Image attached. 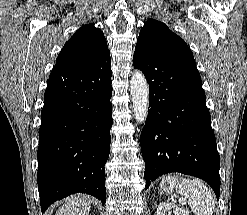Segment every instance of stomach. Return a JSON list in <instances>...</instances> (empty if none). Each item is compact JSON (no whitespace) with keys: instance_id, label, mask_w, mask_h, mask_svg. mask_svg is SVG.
Instances as JSON below:
<instances>
[{"instance_id":"obj_1","label":"stomach","mask_w":247,"mask_h":215,"mask_svg":"<svg viewBox=\"0 0 247 215\" xmlns=\"http://www.w3.org/2000/svg\"><path fill=\"white\" fill-rule=\"evenodd\" d=\"M176 187H177V179L170 176L164 178L160 184L161 191L167 194H170L174 190H176Z\"/></svg>"}]
</instances>
